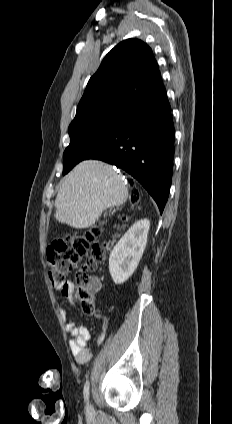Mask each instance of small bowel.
I'll return each mask as SVG.
<instances>
[{
	"instance_id": "c3829d8e",
	"label": "small bowel",
	"mask_w": 232,
	"mask_h": 424,
	"mask_svg": "<svg viewBox=\"0 0 232 424\" xmlns=\"http://www.w3.org/2000/svg\"><path fill=\"white\" fill-rule=\"evenodd\" d=\"M95 291L98 292L101 288V282L98 279H95ZM57 290L62 293L64 297H69L73 290V284L71 282H65L56 286ZM60 313L64 318V322L67 330L72 335V340L70 341V349L78 363H86L90 360L92 351L88 342L90 340L89 329L85 326L78 325L75 321L69 320L67 318V311L63 306H60ZM107 325L104 323L102 325L101 333L96 340V344L99 345L105 337Z\"/></svg>"
}]
</instances>
